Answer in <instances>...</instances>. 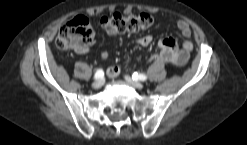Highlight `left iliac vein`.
Returning <instances> with one entry per match:
<instances>
[{
	"instance_id": "obj_1",
	"label": "left iliac vein",
	"mask_w": 247,
	"mask_h": 145,
	"mask_svg": "<svg viewBox=\"0 0 247 145\" xmlns=\"http://www.w3.org/2000/svg\"><path fill=\"white\" fill-rule=\"evenodd\" d=\"M124 78H125V81L131 86H133L134 88H137V89L144 88V85L141 82L133 80L130 76L126 75Z\"/></svg>"
}]
</instances>
